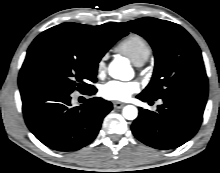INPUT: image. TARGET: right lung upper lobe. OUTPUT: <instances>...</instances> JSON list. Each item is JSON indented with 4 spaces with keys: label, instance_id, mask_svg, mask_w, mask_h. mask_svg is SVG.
Wrapping results in <instances>:
<instances>
[{
    "label": "right lung upper lobe",
    "instance_id": "1",
    "mask_svg": "<svg viewBox=\"0 0 220 173\" xmlns=\"http://www.w3.org/2000/svg\"><path fill=\"white\" fill-rule=\"evenodd\" d=\"M127 34L128 32L116 23L88 26L67 22L54 26L42 32L30 45L26 59L20 70L18 79L19 88L31 86L26 77V68L34 53L44 41L52 38H69L78 43L86 44L90 52L101 59L116 41Z\"/></svg>",
    "mask_w": 220,
    "mask_h": 173
}]
</instances>
